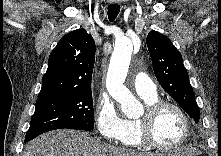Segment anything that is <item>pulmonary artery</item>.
Listing matches in <instances>:
<instances>
[{
	"instance_id": "obj_1",
	"label": "pulmonary artery",
	"mask_w": 221,
	"mask_h": 156,
	"mask_svg": "<svg viewBox=\"0 0 221 156\" xmlns=\"http://www.w3.org/2000/svg\"><path fill=\"white\" fill-rule=\"evenodd\" d=\"M134 88L140 96L154 97L157 95L154 82L147 74L142 72L135 76Z\"/></svg>"
}]
</instances>
